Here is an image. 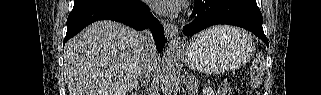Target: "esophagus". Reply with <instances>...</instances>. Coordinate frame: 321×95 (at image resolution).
<instances>
[{
    "instance_id": "34e87169",
    "label": "esophagus",
    "mask_w": 321,
    "mask_h": 95,
    "mask_svg": "<svg viewBox=\"0 0 321 95\" xmlns=\"http://www.w3.org/2000/svg\"><path fill=\"white\" fill-rule=\"evenodd\" d=\"M164 32H165V36H166L167 40H170L173 38V36L176 35L177 27H176V25H174L172 23L165 22L164 23Z\"/></svg>"
}]
</instances>
